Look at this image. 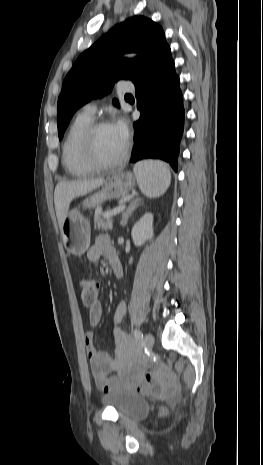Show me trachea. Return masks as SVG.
I'll use <instances>...</instances> for the list:
<instances>
[{"mask_svg":"<svg viewBox=\"0 0 263 465\" xmlns=\"http://www.w3.org/2000/svg\"><path fill=\"white\" fill-rule=\"evenodd\" d=\"M126 97H132V95H130V94H127V95H126Z\"/></svg>","mask_w":263,"mask_h":465,"instance_id":"trachea-1","label":"trachea"}]
</instances>
